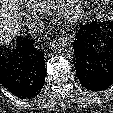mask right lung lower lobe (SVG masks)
Wrapping results in <instances>:
<instances>
[{
    "mask_svg": "<svg viewBox=\"0 0 113 113\" xmlns=\"http://www.w3.org/2000/svg\"><path fill=\"white\" fill-rule=\"evenodd\" d=\"M44 54L33 39L17 38L13 49L0 48V84L20 99H31L43 88Z\"/></svg>",
    "mask_w": 113,
    "mask_h": 113,
    "instance_id": "obj_1",
    "label": "right lung lower lobe"
}]
</instances>
